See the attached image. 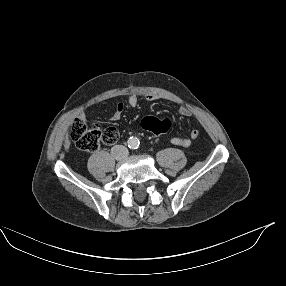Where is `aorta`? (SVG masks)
<instances>
[{
  "instance_id": "1",
  "label": "aorta",
  "mask_w": 286,
  "mask_h": 286,
  "mask_svg": "<svg viewBox=\"0 0 286 286\" xmlns=\"http://www.w3.org/2000/svg\"><path fill=\"white\" fill-rule=\"evenodd\" d=\"M128 146L132 149H135L139 146V139L136 137H130L128 139Z\"/></svg>"
}]
</instances>
